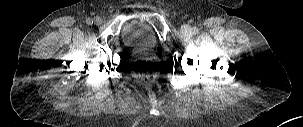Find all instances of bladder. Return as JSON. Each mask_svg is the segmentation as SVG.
Returning <instances> with one entry per match:
<instances>
[{
	"mask_svg": "<svg viewBox=\"0 0 303 127\" xmlns=\"http://www.w3.org/2000/svg\"><path fill=\"white\" fill-rule=\"evenodd\" d=\"M122 38L132 47L153 48L157 38L152 28L144 21L130 19L122 28Z\"/></svg>",
	"mask_w": 303,
	"mask_h": 127,
	"instance_id": "bladder-1",
	"label": "bladder"
}]
</instances>
